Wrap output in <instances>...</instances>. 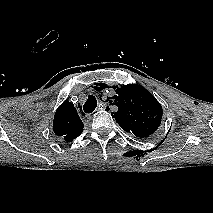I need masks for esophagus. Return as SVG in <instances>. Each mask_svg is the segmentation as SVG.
Wrapping results in <instances>:
<instances>
[{
    "instance_id": "1",
    "label": "esophagus",
    "mask_w": 213,
    "mask_h": 213,
    "mask_svg": "<svg viewBox=\"0 0 213 213\" xmlns=\"http://www.w3.org/2000/svg\"><path fill=\"white\" fill-rule=\"evenodd\" d=\"M103 105H104V107H106L107 106V104L106 103H103ZM105 109V108H104Z\"/></svg>"
}]
</instances>
